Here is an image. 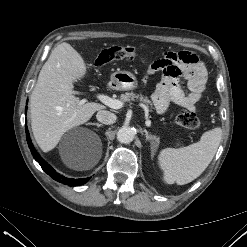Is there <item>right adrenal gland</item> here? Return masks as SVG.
<instances>
[{
    "mask_svg": "<svg viewBox=\"0 0 247 247\" xmlns=\"http://www.w3.org/2000/svg\"><path fill=\"white\" fill-rule=\"evenodd\" d=\"M89 125H95V126H97V127H101V126H103V124H99V123H88Z\"/></svg>",
    "mask_w": 247,
    "mask_h": 247,
    "instance_id": "2a0ac1e0",
    "label": "right adrenal gland"
}]
</instances>
